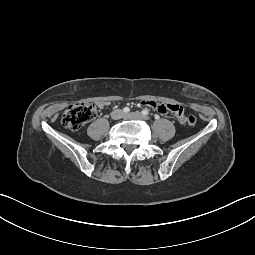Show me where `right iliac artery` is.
Here are the masks:
<instances>
[{
	"instance_id": "82829eb1",
	"label": "right iliac artery",
	"mask_w": 255,
	"mask_h": 255,
	"mask_svg": "<svg viewBox=\"0 0 255 255\" xmlns=\"http://www.w3.org/2000/svg\"><path fill=\"white\" fill-rule=\"evenodd\" d=\"M129 111H130V109L128 107L123 108L124 113H128Z\"/></svg>"
}]
</instances>
